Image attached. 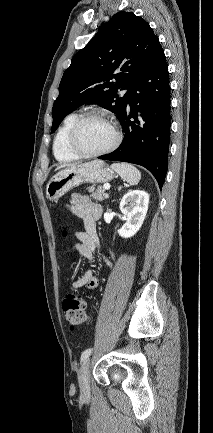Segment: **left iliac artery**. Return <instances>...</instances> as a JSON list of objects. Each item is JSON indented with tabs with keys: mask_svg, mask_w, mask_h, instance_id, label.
I'll return each mask as SVG.
<instances>
[{
	"mask_svg": "<svg viewBox=\"0 0 213 433\" xmlns=\"http://www.w3.org/2000/svg\"><path fill=\"white\" fill-rule=\"evenodd\" d=\"M91 352H92V348L86 349L81 355V360L83 361V360L87 359L89 357V355L91 354Z\"/></svg>",
	"mask_w": 213,
	"mask_h": 433,
	"instance_id": "1",
	"label": "left iliac artery"
}]
</instances>
